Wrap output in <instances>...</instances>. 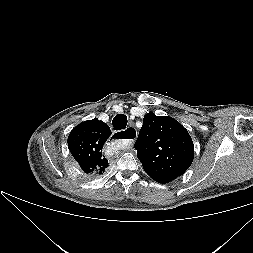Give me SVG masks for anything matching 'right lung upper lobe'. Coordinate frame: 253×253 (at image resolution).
<instances>
[{"mask_svg": "<svg viewBox=\"0 0 253 253\" xmlns=\"http://www.w3.org/2000/svg\"><path fill=\"white\" fill-rule=\"evenodd\" d=\"M110 135L109 126L96 118L80 123L70 132V152L85 173L101 174L108 167L102 149Z\"/></svg>", "mask_w": 253, "mask_h": 253, "instance_id": "cb5924a9", "label": "right lung upper lobe"}]
</instances>
